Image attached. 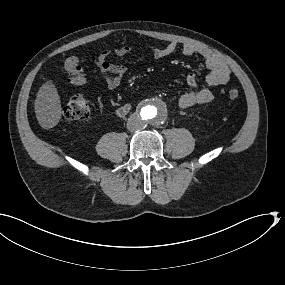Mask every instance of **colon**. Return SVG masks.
I'll list each match as a JSON object with an SVG mask.
<instances>
[{"label":"colon","instance_id":"obj_1","mask_svg":"<svg viewBox=\"0 0 285 285\" xmlns=\"http://www.w3.org/2000/svg\"><path fill=\"white\" fill-rule=\"evenodd\" d=\"M69 81L75 85H83L86 82L84 69L79 65L76 56L69 57L65 62ZM228 97L232 100L239 97V91L232 88L228 91ZM65 116L70 120H86L90 117L91 109L89 102L81 95L70 98L64 109Z\"/></svg>","mask_w":285,"mask_h":285}]
</instances>
